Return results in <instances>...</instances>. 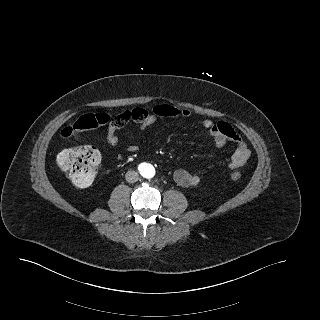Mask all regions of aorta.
I'll return each instance as SVG.
<instances>
[{"instance_id": "obj_1", "label": "aorta", "mask_w": 320, "mask_h": 320, "mask_svg": "<svg viewBox=\"0 0 320 320\" xmlns=\"http://www.w3.org/2000/svg\"><path fill=\"white\" fill-rule=\"evenodd\" d=\"M142 174L145 178H152L155 175V169L152 165H148L143 169Z\"/></svg>"}]
</instances>
